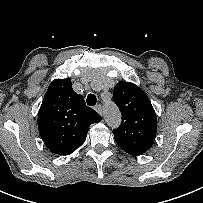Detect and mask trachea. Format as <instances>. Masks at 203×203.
<instances>
[{
    "instance_id": "3493384b",
    "label": "trachea",
    "mask_w": 203,
    "mask_h": 203,
    "mask_svg": "<svg viewBox=\"0 0 203 203\" xmlns=\"http://www.w3.org/2000/svg\"><path fill=\"white\" fill-rule=\"evenodd\" d=\"M86 101H87V104L89 106H94V105H96L97 98H96V96L94 94H89L87 96V100Z\"/></svg>"
}]
</instances>
